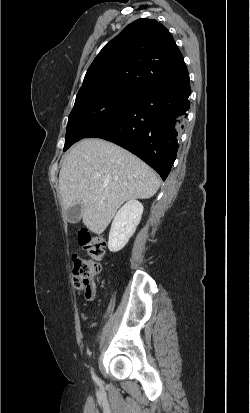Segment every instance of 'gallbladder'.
Masks as SVG:
<instances>
[{
	"label": "gallbladder",
	"mask_w": 250,
	"mask_h": 413,
	"mask_svg": "<svg viewBox=\"0 0 250 413\" xmlns=\"http://www.w3.org/2000/svg\"><path fill=\"white\" fill-rule=\"evenodd\" d=\"M82 204L77 203L71 207H69L66 211V218L70 223H78L81 219L82 215Z\"/></svg>",
	"instance_id": "1"
}]
</instances>
